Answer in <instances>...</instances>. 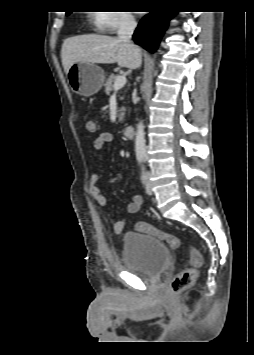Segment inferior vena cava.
<instances>
[{
    "mask_svg": "<svg viewBox=\"0 0 254 355\" xmlns=\"http://www.w3.org/2000/svg\"><path fill=\"white\" fill-rule=\"evenodd\" d=\"M136 28L135 20L130 16L121 17L118 29V39L128 44L131 47H134V44L131 42V37ZM141 65V57L138 58L137 67Z\"/></svg>",
    "mask_w": 254,
    "mask_h": 355,
    "instance_id": "inferior-vena-cava-1",
    "label": "inferior vena cava"
}]
</instances>
